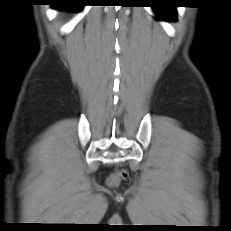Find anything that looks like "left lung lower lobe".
Listing matches in <instances>:
<instances>
[{
    "label": "left lung lower lobe",
    "mask_w": 231,
    "mask_h": 231,
    "mask_svg": "<svg viewBox=\"0 0 231 231\" xmlns=\"http://www.w3.org/2000/svg\"><path fill=\"white\" fill-rule=\"evenodd\" d=\"M170 2H156L152 5L157 16L166 21H175V7L169 5Z\"/></svg>",
    "instance_id": "1"
}]
</instances>
